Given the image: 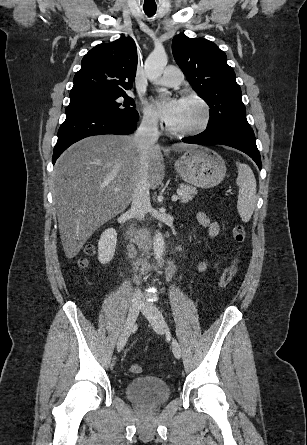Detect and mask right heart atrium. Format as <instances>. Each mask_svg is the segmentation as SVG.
<instances>
[{"label":"right heart atrium","instance_id":"d8ad5b80","mask_svg":"<svg viewBox=\"0 0 307 445\" xmlns=\"http://www.w3.org/2000/svg\"><path fill=\"white\" fill-rule=\"evenodd\" d=\"M143 125L146 129L150 131H156L159 128V117L158 115L149 107L144 109L143 113Z\"/></svg>","mask_w":307,"mask_h":445}]
</instances>
